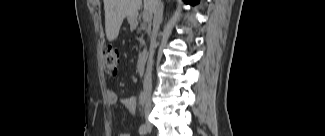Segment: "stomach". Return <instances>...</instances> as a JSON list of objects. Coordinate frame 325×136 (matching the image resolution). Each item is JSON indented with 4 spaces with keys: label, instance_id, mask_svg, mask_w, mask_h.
<instances>
[{
    "label": "stomach",
    "instance_id": "obj_1",
    "mask_svg": "<svg viewBox=\"0 0 325 136\" xmlns=\"http://www.w3.org/2000/svg\"><path fill=\"white\" fill-rule=\"evenodd\" d=\"M128 21L132 27L136 26V18L134 17H128Z\"/></svg>",
    "mask_w": 325,
    "mask_h": 136
}]
</instances>
